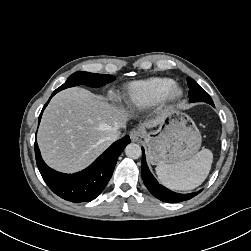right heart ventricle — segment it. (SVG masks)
<instances>
[{
  "instance_id": "right-heart-ventricle-1",
  "label": "right heart ventricle",
  "mask_w": 251,
  "mask_h": 251,
  "mask_svg": "<svg viewBox=\"0 0 251 251\" xmlns=\"http://www.w3.org/2000/svg\"><path fill=\"white\" fill-rule=\"evenodd\" d=\"M174 81L168 77H152L130 84L126 104L133 108L144 109L158 104L166 89Z\"/></svg>"
}]
</instances>
